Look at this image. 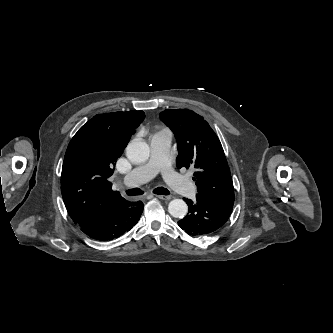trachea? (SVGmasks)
I'll return each instance as SVG.
<instances>
[{
    "label": "trachea",
    "mask_w": 333,
    "mask_h": 333,
    "mask_svg": "<svg viewBox=\"0 0 333 333\" xmlns=\"http://www.w3.org/2000/svg\"><path fill=\"white\" fill-rule=\"evenodd\" d=\"M153 193L158 194V195H169L170 194L169 190L164 188V187L155 188L153 190ZM126 194L129 195V196H136V195L143 194V191L138 189V188H134V189L127 190Z\"/></svg>",
    "instance_id": "3493384b"
}]
</instances>
